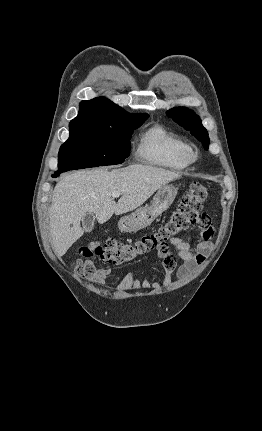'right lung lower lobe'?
Here are the masks:
<instances>
[{
	"label": "right lung lower lobe",
	"mask_w": 262,
	"mask_h": 431,
	"mask_svg": "<svg viewBox=\"0 0 262 431\" xmlns=\"http://www.w3.org/2000/svg\"><path fill=\"white\" fill-rule=\"evenodd\" d=\"M60 173L59 172H56L55 174H53L52 175V177H56V176H58Z\"/></svg>",
	"instance_id": "obj_1"
}]
</instances>
